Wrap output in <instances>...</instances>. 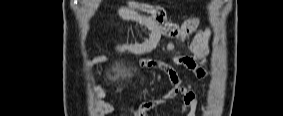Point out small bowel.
I'll return each mask as SVG.
<instances>
[{
    "mask_svg": "<svg viewBox=\"0 0 283 116\" xmlns=\"http://www.w3.org/2000/svg\"><path fill=\"white\" fill-rule=\"evenodd\" d=\"M133 4V1H124L118 8V13L121 17L136 22L148 29L149 37L142 44H114L112 49L115 52L143 55L154 49L159 44L160 39L164 34L170 35L177 42H184L197 28V18L185 21L180 28H172L165 24V14L162 9L151 8L149 10L153 16L151 17L137 10ZM210 37V27L199 30L190 44L193 57L178 55L173 59L174 63L187 67L199 78H205L208 74L205 61L210 50ZM172 47L173 45H169V48ZM107 61L108 57L106 55L95 56L86 62L85 67L89 68L97 64L106 63ZM141 66L144 68H156L163 71L172 84V88L166 91L160 99L145 103L139 110L136 111V115H146V112L155 106L181 96L183 104L178 107V111L187 116H195V111L198 106L197 96L192 89L182 85L180 77L171 65L163 61L143 58L141 60ZM94 94L96 99L100 100L104 96V90L101 87H96L94 89ZM103 109L109 110V107L104 106Z\"/></svg>",
    "mask_w": 283,
    "mask_h": 116,
    "instance_id": "obj_1",
    "label": "small bowel"
}]
</instances>
